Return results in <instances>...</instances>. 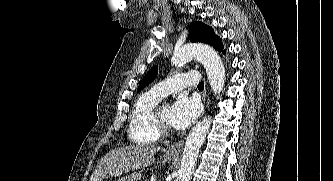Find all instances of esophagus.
<instances>
[{
    "instance_id": "34e87169",
    "label": "esophagus",
    "mask_w": 333,
    "mask_h": 181,
    "mask_svg": "<svg viewBox=\"0 0 333 181\" xmlns=\"http://www.w3.org/2000/svg\"><path fill=\"white\" fill-rule=\"evenodd\" d=\"M206 93L203 94V101L205 103ZM184 141H180L170 145L167 149V154L179 155L183 149Z\"/></svg>"
}]
</instances>
